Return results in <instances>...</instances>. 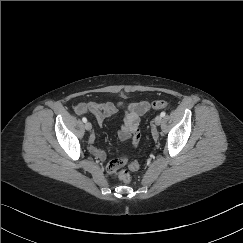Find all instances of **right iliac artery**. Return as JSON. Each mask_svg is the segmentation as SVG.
<instances>
[{
  "label": "right iliac artery",
  "mask_w": 243,
  "mask_h": 243,
  "mask_svg": "<svg viewBox=\"0 0 243 243\" xmlns=\"http://www.w3.org/2000/svg\"><path fill=\"white\" fill-rule=\"evenodd\" d=\"M82 121H83L84 123H86V122H87V119H86L85 117H83V118H82Z\"/></svg>",
  "instance_id": "82829eb1"
}]
</instances>
